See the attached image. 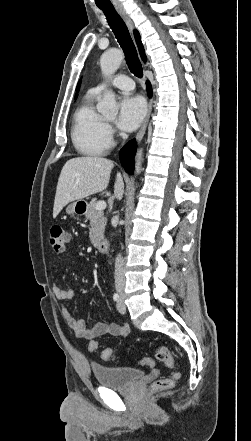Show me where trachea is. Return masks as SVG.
<instances>
[{
	"instance_id": "trachea-1",
	"label": "trachea",
	"mask_w": 251,
	"mask_h": 441,
	"mask_svg": "<svg viewBox=\"0 0 251 441\" xmlns=\"http://www.w3.org/2000/svg\"><path fill=\"white\" fill-rule=\"evenodd\" d=\"M106 16L108 24L112 29L118 43L120 44L125 54V60L129 70L136 77L142 78L143 69L138 58L135 45L130 36L129 30L114 8H100Z\"/></svg>"
}]
</instances>
